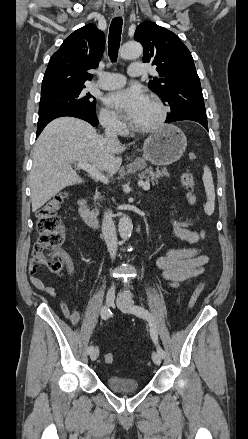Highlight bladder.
I'll return each mask as SVG.
<instances>
[{"mask_svg":"<svg viewBox=\"0 0 248 439\" xmlns=\"http://www.w3.org/2000/svg\"><path fill=\"white\" fill-rule=\"evenodd\" d=\"M108 388L114 392H135L140 389L137 380L119 375H109L106 378Z\"/></svg>","mask_w":248,"mask_h":439,"instance_id":"obj_1","label":"bladder"}]
</instances>
